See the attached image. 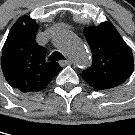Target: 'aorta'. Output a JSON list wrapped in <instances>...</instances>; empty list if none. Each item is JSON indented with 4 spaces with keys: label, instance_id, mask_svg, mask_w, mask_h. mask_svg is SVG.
<instances>
[{
    "label": "aorta",
    "instance_id": "obj_1",
    "mask_svg": "<svg viewBox=\"0 0 135 135\" xmlns=\"http://www.w3.org/2000/svg\"><path fill=\"white\" fill-rule=\"evenodd\" d=\"M55 46L66 53L73 63L79 67H87L90 56L81 40L68 30H59L53 36Z\"/></svg>",
    "mask_w": 135,
    "mask_h": 135
}]
</instances>
